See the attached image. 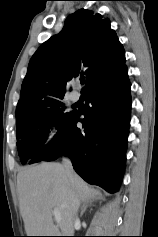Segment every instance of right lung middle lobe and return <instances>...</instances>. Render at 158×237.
<instances>
[{"mask_svg":"<svg viewBox=\"0 0 158 237\" xmlns=\"http://www.w3.org/2000/svg\"><path fill=\"white\" fill-rule=\"evenodd\" d=\"M74 112H65L64 103L58 100L50 103L35 115L16 118L17 143L20 160L25 164L33 158L45 143L51 126L60 128Z\"/></svg>","mask_w":158,"mask_h":237,"instance_id":"right-lung-middle-lobe-1","label":"right lung middle lobe"}]
</instances>
